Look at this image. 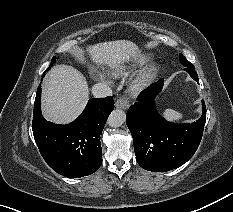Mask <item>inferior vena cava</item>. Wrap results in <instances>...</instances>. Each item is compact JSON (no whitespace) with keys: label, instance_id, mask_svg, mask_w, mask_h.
<instances>
[{"label":"inferior vena cava","instance_id":"1","mask_svg":"<svg viewBox=\"0 0 233 212\" xmlns=\"http://www.w3.org/2000/svg\"><path fill=\"white\" fill-rule=\"evenodd\" d=\"M92 94L95 98H104L112 95L111 88L105 83H97L92 87Z\"/></svg>","mask_w":233,"mask_h":212}]
</instances>
